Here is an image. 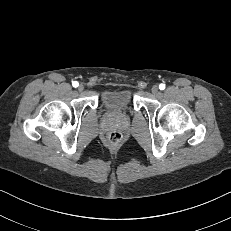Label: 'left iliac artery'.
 <instances>
[{"mask_svg": "<svg viewBox=\"0 0 231 231\" xmlns=\"http://www.w3.org/2000/svg\"><path fill=\"white\" fill-rule=\"evenodd\" d=\"M159 89H160V90H164V89H165V84L161 83V84L159 85Z\"/></svg>", "mask_w": 231, "mask_h": 231, "instance_id": "obj_1", "label": "left iliac artery"}]
</instances>
